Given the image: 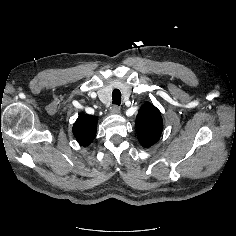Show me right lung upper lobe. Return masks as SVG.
Here are the masks:
<instances>
[{"label": "right lung upper lobe", "mask_w": 236, "mask_h": 236, "mask_svg": "<svg viewBox=\"0 0 236 236\" xmlns=\"http://www.w3.org/2000/svg\"><path fill=\"white\" fill-rule=\"evenodd\" d=\"M98 118L96 116L81 114L74 126L73 133L77 141L83 145L88 146L96 135Z\"/></svg>", "instance_id": "right-lung-upper-lobe-1"}]
</instances>
